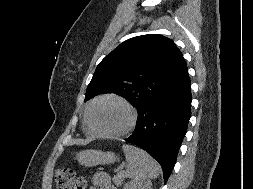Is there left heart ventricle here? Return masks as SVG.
Masks as SVG:
<instances>
[{
    "label": "left heart ventricle",
    "mask_w": 253,
    "mask_h": 189,
    "mask_svg": "<svg viewBox=\"0 0 253 189\" xmlns=\"http://www.w3.org/2000/svg\"><path fill=\"white\" fill-rule=\"evenodd\" d=\"M130 119L128 110L115 100L98 103L92 111V122L101 132L111 133L122 130Z\"/></svg>",
    "instance_id": "1"
}]
</instances>
